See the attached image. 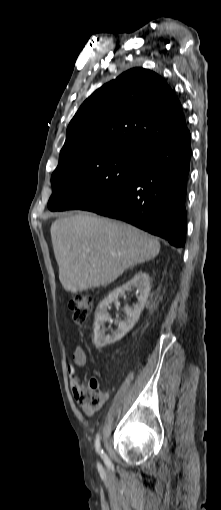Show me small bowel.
<instances>
[{
  "mask_svg": "<svg viewBox=\"0 0 221 510\" xmlns=\"http://www.w3.org/2000/svg\"><path fill=\"white\" fill-rule=\"evenodd\" d=\"M87 362V356L84 351V349L81 346H76L73 354H72V361L68 364L67 370L69 374L70 379V387L73 393V396L75 400L78 402L82 410L87 415H93L95 411L87 410L84 408L80 403V396L82 393V382L81 379L78 376V369L84 368Z\"/></svg>",
  "mask_w": 221,
  "mask_h": 510,
  "instance_id": "c3829d8e",
  "label": "small bowel"
}]
</instances>
